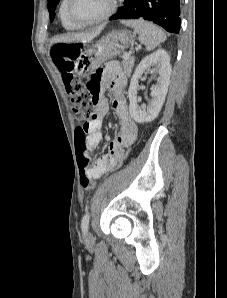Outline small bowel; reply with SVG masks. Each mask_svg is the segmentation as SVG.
Returning a JSON list of instances; mask_svg holds the SVG:
<instances>
[{
	"label": "small bowel",
	"instance_id": "c3829d8e",
	"mask_svg": "<svg viewBox=\"0 0 227 298\" xmlns=\"http://www.w3.org/2000/svg\"><path fill=\"white\" fill-rule=\"evenodd\" d=\"M101 68L104 69H93L92 75L86 82L87 92H91L90 103H96L95 110L90 111V114L95 117H89V125L83 126V129L87 130V150H95L103 138V120L109 110L105 96L106 85H108V95L112 100V107L119 119L120 127L118 134L109 144L108 152L93 162L92 167L87 170L93 179L100 178L116 165L124 148L134 143L138 133L137 124L130 115L123 93L126 76L120 64L116 61L101 63Z\"/></svg>",
	"mask_w": 227,
	"mask_h": 298
}]
</instances>
